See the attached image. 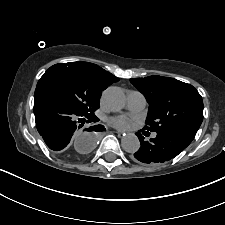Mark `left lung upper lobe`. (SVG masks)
Listing matches in <instances>:
<instances>
[{"label": "left lung upper lobe", "mask_w": 225, "mask_h": 225, "mask_svg": "<svg viewBox=\"0 0 225 225\" xmlns=\"http://www.w3.org/2000/svg\"><path fill=\"white\" fill-rule=\"evenodd\" d=\"M130 82L149 103L144 130L159 133L180 127H200L203 100L192 85L162 76L130 79Z\"/></svg>", "instance_id": "1"}]
</instances>
